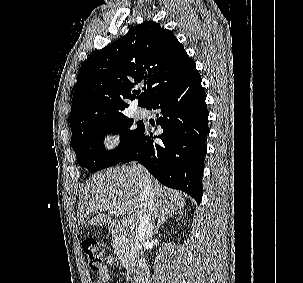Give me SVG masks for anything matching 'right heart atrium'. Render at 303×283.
<instances>
[{
    "label": "right heart atrium",
    "mask_w": 303,
    "mask_h": 283,
    "mask_svg": "<svg viewBox=\"0 0 303 283\" xmlns=\"http://www.w3.org/2000/svg\"><path fill=\"white\" fill-rule=\"evenodd\" d=\"M122 143L121 133L113 128L106 129L101 135V144L107 153L116 152Z\"/></svg>",
    "instance_id": "right-heart-atrium-1"
}]
</instances>
